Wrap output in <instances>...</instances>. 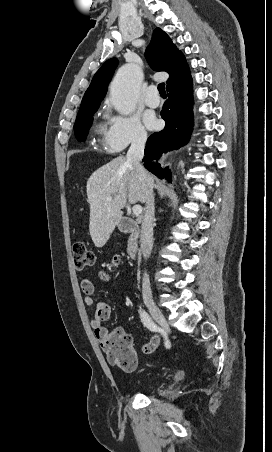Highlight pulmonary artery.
I'll return each mask as SVG.
<instances>
[{
	"label": "pulmonary artery",
	"mask_w": 272,
	"mask_h": 452,
	"mask_svg": "<svg viewBox=\"0 0 272 452\" xmlns=\"http://www.w3.org/2000/svg\"><path fill=\"white\" fill-rule=\"evenodd\" d=\"M145 103L151 108H156L160 105V98L157 95V88L153 85L149 86L145 94Z\"/></svg>",
	"instance_id": "pulmonary-artery-1"
}]
</instances>
